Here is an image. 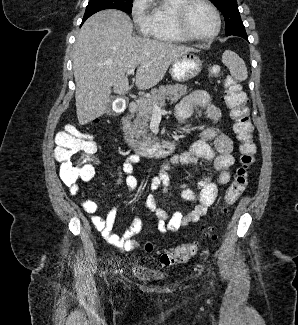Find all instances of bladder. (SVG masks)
Instances as JSON below:
<instances>
[{
	"instance_id": "31cf9c89",
	"label": "bladder",
	"mask_w": 298,
	"mask_h": 325,
	"mask_svg": "<svg viewBox=\"0 0 298 325\" xmlns=\"http://www.w3.org/2000/svg\"><path fill=\"white\" fill-rule=\"evenodd\" d=\"M130 273L133 277L141 281H159L167 277L165 272L151 268L140 262L132 263Z\"/></svg>"
}]
</instances>
